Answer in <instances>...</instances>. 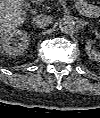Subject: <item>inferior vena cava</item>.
Masks as SVG:
<instances>
[{"label": "inferior vena cava", "mask_w": 100, "mask_h": 118, "mask_svg": "<svg viewBox=\"0 0 100 118\" xmlns=\"http://www.w3.org/2000/svg\"><path fill=\"white\" fill-rule=\"evenodd\" d=\"M52 22V19L48 15H36L33 18V24L38 28H43L48 26Z\"/></svg>", "instance_id": "inferior-vena-cava-1"}]
</instances>
